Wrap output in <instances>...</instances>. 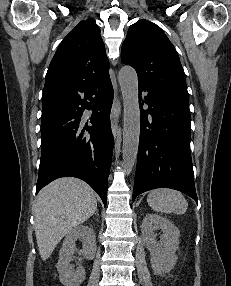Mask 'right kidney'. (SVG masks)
Returning <instances> with one entry per match:
<instances>
[{"label": "right kidney", "instance_id": "ca27d5eb", "mask_svg": "<svg viewBox=\"0 0 231 286\" xmlns=\"http://www.w3.org/2000/svg\"><path fill=\"white\" fill-rule=\"evenodd\" d=\"M77 239H80L83 243L82 253L86 259H93L96 253V237L91 227L80 225L67 234L60 249L59 261L56 266L59 272V280L64 286H80L86 278L82 266L74 270L70 264Z\"/></svg>", "mask_w": 231, "mask_h": 286}]
</instances>
